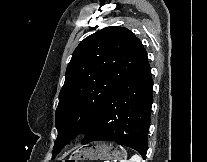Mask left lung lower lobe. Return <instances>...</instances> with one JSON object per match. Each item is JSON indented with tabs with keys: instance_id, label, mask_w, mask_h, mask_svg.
<instances>
[{
	"instance_id": "left-lung-lower-lobe-1",
	"label": "left lung lower lobe",
	"mask_w": 207,
	"mask_h": 162,
	"mask_svg": "<svg viewBox=\"0 0 207 162\" xmlns=\"http://www.w3.org/2000/svg\"><path fill=\"white\" fill-rule=\"evenodd\" d=\"M153 102V81L147 56L105 101L81 141H114L138 151L144 160Z\"/></svg>"
}]
</instances>
